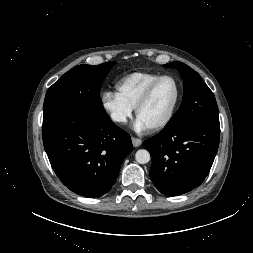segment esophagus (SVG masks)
<instances>
[{
    "label": "esophagus",
    "mask_w": 253,
    "mask_h": 253,
    "mask_svg": "<svg viewBox=\"0 0 253 253\" xmlns=\"http://www.w3.org/2000/svg\"><path fill=\"white\" fill-rule=\"evenodd\" d=\"M131 141L134 147H139L142 144V141L139 138L132 137Z\"/></svg>",
    "instance_id": "esophagus-1"
}]
</instances>
